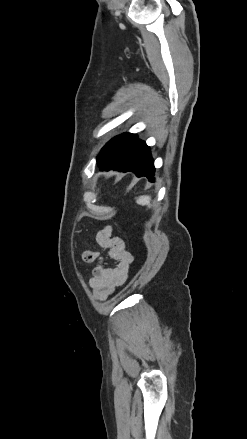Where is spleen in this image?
Instances as JSON below:
<instances>
[{
	"mask_svg": "<svg viewBox=\"0 0 247 439\" xmlns=\"http://www.w3.org/2000/svg\"><path fill=\"white\" fill-rule=\"evenodd\" d=\"M150 201H151V198H150V196H147V195H142V196L136 198V203L141 205V206L150 207L151 206Z\"/></svg>",
	"mask_w": 247,
	"mask_h": 439,
	"instance_id": "3e777b00",
	"label": "spleen"
}]
</instances>
